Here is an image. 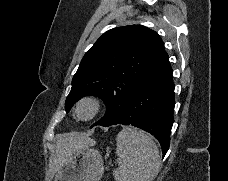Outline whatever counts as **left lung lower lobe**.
I'll return each mask as SVG.
<instances>
[{"label": "left lung lower lobe", "mask_w": 228, "mask_h": 181, "mask_svg": "<svg viewBox=\"0 0 228 181\" xmlns=\"http://www.w3.org/2000/svg\"><path fill=\"white\" fill-rule=\"evenodd\" d=\"M174 105L172 69L165 52L143 73L124 116L113 125H132L149 132L158 139L164 157L169 149Z\"/></svg>", "instance_id": "left-lung-lower-lobe-1"}]
</instances>
